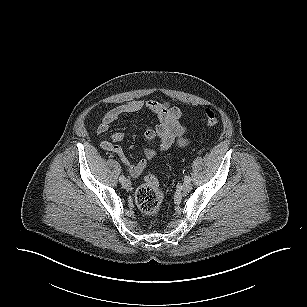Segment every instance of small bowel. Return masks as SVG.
<instances>
[{
  "label": "small bowel",
  "mask_w": 307,
  "mask_h": 307,
  "mask_svg": "<svg viewBox=\"0 0 307 307\" xmlns=\"http://www.w3.org/2000/svg\"><path fill=\"white\" fill-rule=\"evenodd\" d=\"M142 110L150 111L157 117V124L154 127H147L144 131V137L148 141L157 140L159 142V151L165 152L175 145L186 143V129L179 122L183 112L179 107L169 102L134 100L116 106L104 114L97 126V133H106L111 124L118 118ZM124 136L125 134L121 131L114 132L110 139L101 141V147L115 154L127 167L130 176L136 178L143 173L148 166V162L156 158L157 151L149 146L143 147L145 159L132 164L126 157L123 149L118 145L124 139Z\"/></svg>",
  "instance_id": "1"
}]
</instances>
